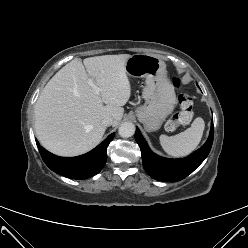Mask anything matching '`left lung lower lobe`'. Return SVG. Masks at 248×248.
<instances>
[{"label": "left lung lower lobe", "mask_w": 248, "mask_h": 248, "mask_svg": "<svg viewBox=\"0 0 248 248\" xmlns=\"http://www.w3.org/2000/svg\"><path fill=\"white\" fill-rule=\"evenodd\" d=\"M213 120L205 144L188 157L181 159L162 158L151 151L145 139L136 128L135 139L140 146L142 162L146 172L154 179L165 182L182 180L192 173L208 156L214 137Z\"/></svg>", "instance_id": "left-lung-lower-lobe-1"}]
</instances>
